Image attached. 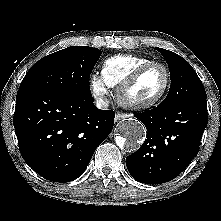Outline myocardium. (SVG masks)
<instances>
[{"mask_svg": "<svg viewBox=\"0 0 221 221\" xmlns=\"http://www.w3.org/2000/svg\"><path fill=\"white\" fill-rule=\"evenodd\" d=\"M161 67L165 73V83L161 91L154 97L144 101H132L127 98L129 90L138 82V80L151 68ZM171 85V74L169 68L161 62H150L135 70L127 79H125L117 88L116 97L118 103L124 108L131 110H144L158 104L167 94Z\"/></svg>", "mask_w": 221, "mask_h": 221, "instance_id": "f54148a6", "label": "myocardium"}]
</instances>
